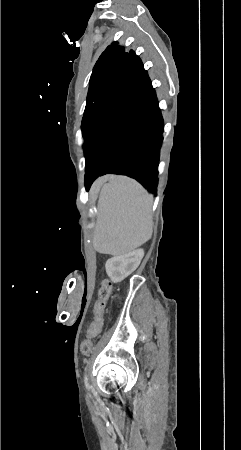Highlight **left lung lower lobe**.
Here are the masks:
<instances>
[{"label":"left lung lower lobe","instance_id":"left-lung-lower-lobe-1","mask_svg":"<svg viewBox=\"0 0 241 450\" xmlns=\"http://www.w3.org/2000/svg\"><path fill=\"white\" fill-rule=\"evenodd\" d=\"M131 52L121 91L85 138V186L104 174H121L156 195L164 123L147 71Z\"/></svg>","mask_w":241,"mask_h":450}]
</instances>
